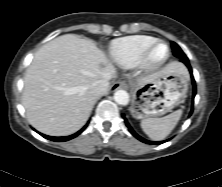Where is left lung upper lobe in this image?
<instances>
[{"label": "left lung upper lobe", "mask_w": 222, "mask_h": 187, "mask_svg": "<svg viewBox=\"0 0 222 187\" xmlns=\"http://www.w3.org/2000/svg\"><path fill=\"white\" fill-rule=\"evenodd\" d=\"M171 45H172L174 56H176L180 59L187 58L186 55L184 54V52L181 50V48L175 42H171Z\"/></svg>", "instance_id": "left-lung-upper-lobe-1"}]
</instances>
